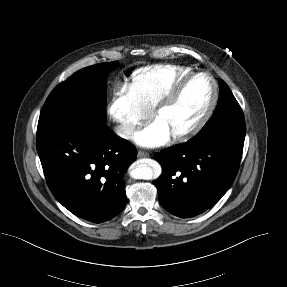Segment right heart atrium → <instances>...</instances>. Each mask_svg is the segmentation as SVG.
<instances>
[{"label":"right heart atrium","mask_w":287,"mask_h":287,"mask_svg":"<svg viewBox=\"0 0 287 287\" xmlns=\"http://www.w3.org/2000/svg\"><path fill=\"white\" fill-rule=\"evenodd\" d=\"M109 117L116 123L121 137L130 138L146 116L128 84H121L114 92L108 107Z\"/></svg>","instance_id":"d8ad5b80"}]
</instances>
